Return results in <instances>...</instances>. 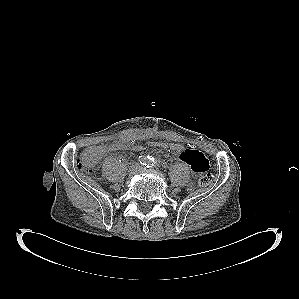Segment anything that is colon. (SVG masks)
<instances>
[{
	"mask_svg": "<svg viewBox=\"0 0 299 299\" xmlns=\"http://www.w3.org/2000/svg\"><path fill=\"white\" fill-rule=\"evenodd\" d=\"M149 148H162L171 150L175 153H180L181 145L166 141H149L146 143H138L128 146L122 140H117L103 146L90 147L85 149L77 161V166L84 172L91 173L95 171L99 158L106 152L131 150L140 152ZM213 182V176L209 173L202 175L199 179V184L202 187H207Z\"/></svg>",
	"mask_w": 299,
	"mask_h": 299,
	"instance_id": "obj_1",
	"label": "colon"
}]
</instances>
